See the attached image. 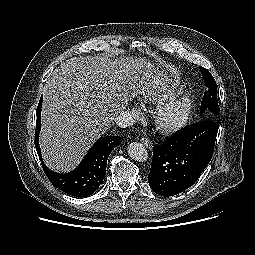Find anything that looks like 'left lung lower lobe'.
<instances>
[{
    "instance_id": "left-lung-lower-lobe-1",
    "label": "left lung lower lobe",
    "mask_w": 255,
    "mask_h": 255,
    "mask_svg": "<svg viewBox=\"0 0 255 255\" xmlns=\"http://www.w3.org/2000/svg\"><path fill=\"white\" fill-rule=\"evenodd\" d=\"M219 124L204 120L186 126L163 145H155L148 182L161 196H173L193 185L209 164Z\"/></svg>"
}]
</instances>
